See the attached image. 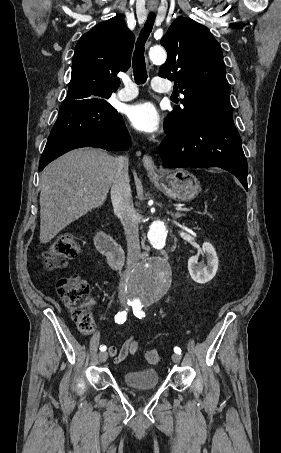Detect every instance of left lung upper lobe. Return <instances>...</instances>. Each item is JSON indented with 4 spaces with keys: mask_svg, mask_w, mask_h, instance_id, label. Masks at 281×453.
<instances>
[{
    "mask_svg": "<svg viewBox=\"0 0 281 453\" xmlns=\"http://www.w3.org/2000/svg\"><path fill=\"white\" fill-rule=\"evenodd\" d=\"M161 45L168 57L159 76L174 81L176 90L185 96L180 100L184 107L175 106L166 117V133L197 119L232 114L221 46L207 27L179 16Z\"/></svg>",
    "mask_w": 281,
    "mask_h": 453,
    "instance_id": "obj_1",
    "label": "left lung upper lobe"
}]
</instances>
